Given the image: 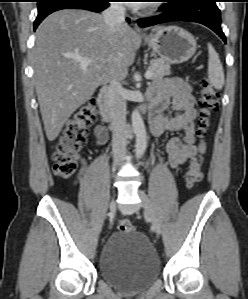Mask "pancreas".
<instances>
[{"mask_svg": "<svg viewBox=\"0 0 248 299\" xmlns=\"http://www.w3.org/2000/svg\"><path fill=\"white\" fill-rule=\"evenodd\" d=\"M170 65L161 58H155L151 60V66L148 70L152 73V80L162 78L166 75H170Z\"/></svg>", "mask_w": 248, "mask_h": 299, "instance_id": "obj_1", "label": "pancreas"}]
</instances>
